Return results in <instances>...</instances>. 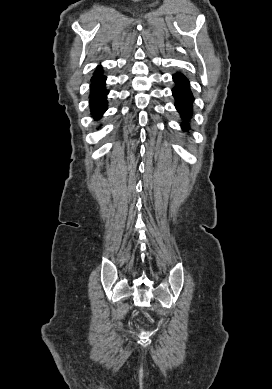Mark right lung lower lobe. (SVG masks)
Listing matches in <instances>:
<instances>
[{
  "mask_svg": "<svg viewBox=\"0 0 272 389\" xmlns=\"http://www.w3.org/2000/svg\"><path fill=\"white\" fill-rule=\"evenodd\" d=\"M106 76H103L101 66L95 70L90 85V107L94 118L99 119L101 115L107 110L106 96L109 93L105 88Z\"/></svg>",
  "mask_w": 272,
  "mask_h": 389,
  "instance_id": "1",
  "label": "right lung lower lobe"
}]
</instances>
